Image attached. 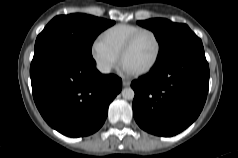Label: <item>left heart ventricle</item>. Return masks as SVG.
Here are the masks:
<instances>
[{
  "label": "left heart ventricle",
  "mask_w": 238,
  "mask_h": 158,
  "mask_svg": "<svg viewBox=\"0 0 238 158\" xmlns=\"http://www.w3.org/2000/svg\"><path fill=\"white\" fill-rule=\"evenodd\" d=\"M156 43L150 34H143L125 56L124 66L130 71L146 67L154 58Z\"/></svg>",
  "instance_id": "obj_1"
}]
</instances>
